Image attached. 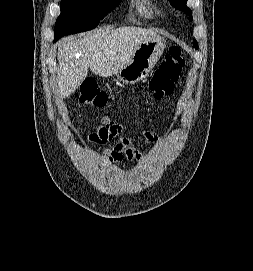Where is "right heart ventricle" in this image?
I'll return each instance as SVG.
<instances>
[{
    "mask_svg": "<svg viewBox=\"0 0 253 271\" xmlns=\"http://www.w3.org/2000/svg\"><path fill=\"white\" fill-rule=\"evenodd\" d=\"M135 4L140 13L148 17L161 15V11L150 0H135Z\"/></svg>",
    "mask_w": 253,
    "mask_h": 271,
    "instance_id": "obj_1",
    "label": "right heart ventricle"
}]
</instances>
